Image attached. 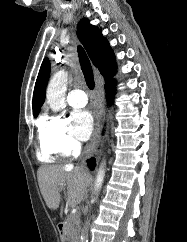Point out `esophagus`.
<instances>
[{"instance_id": "esophagus-1", "label": "esophagus", "mask_w": 187, "mask_h": 242, "mask_svg": "<svg viewBox=\"0 0 187 242\" xmlns=\"http://www.w3.org/2000/svg\"><path fill=\"white\" fill-rule=\"evenodd\" d=\"M96 92L99 97L98 112H97V116H96L95 128H94L92 138L84 150L85 158H90L94 154V152L98 146V143L100 141V134H101V130H102V122H103L104 115H105L104 92H103V88H102L101 84H99V83L96 85Z\"/></svg>"}]
</instances>
